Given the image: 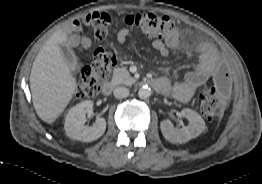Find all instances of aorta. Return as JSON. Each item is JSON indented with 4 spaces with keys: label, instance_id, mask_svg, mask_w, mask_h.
<instances>
[{
    "label": "aorta",
    "instance_id": "762f6f07",
    "mask_svg": "<svg viewBox=\"0 0 262 184\" xmlns=\"http://www.w3.org/2000/svg\"><path fill=\"white\" fill-rule=\"evenodd\" d=\"M138 95L140 98L146 99L151 96V89L147 85L142 86L139 91Z\"/></svg>",
    "mask_w": 262,
    "mask_h": 184
}]
</instances>
